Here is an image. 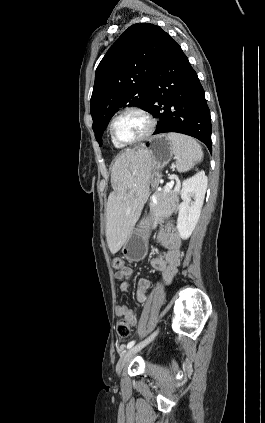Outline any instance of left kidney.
I'll list each match as a JSON object with an SVG mask.
<instances>
[{"instance_id":"left-kidney-1","label":"left kidney","mask_w":265,"mask_h":423,"mask_svg":"<svg viewBox=\"0 0 265 423\" xmlns=\"http://www.w3.org/2000/svg\"><path fill=\"white\" fill-rule=\"evenodd\" d=\"M207 183L208 179L204 171H200L182 182L181 199L183 201L179 205L177 230L183 240L191 236L199 220Z\"/></svg>"}]
</instances>
